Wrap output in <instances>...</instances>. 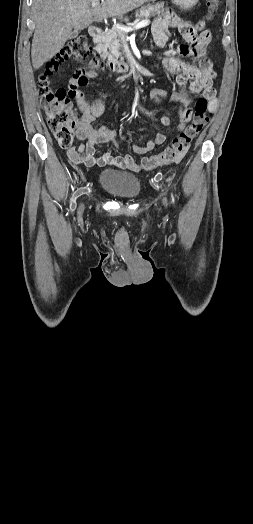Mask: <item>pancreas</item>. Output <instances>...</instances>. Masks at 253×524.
<instances>
[{"label": "pancreas", "instance_id": "1", "mask_svg": "<svg viewBox=\"0 0 253 524\" xmlns=\"http://www.w3.org/2000/svg\"><path fill=\"white\" fill-rule=\"evenodd\" d=\"M156 15L161 18L170 19L174 16V13L170 12L169 8L165 7L163 2H157L142 7L136 14L137 17L146 19ZM125 35L126 32L113 27L112 29L106 31L104 35L96 42L95 50L104 58L108 57L112 60H116L117 57L113 51L121 47L119 42L122 37H125Z\"/></svg>", "mask_w": 253, "mask_h": 524}]
</instances>
